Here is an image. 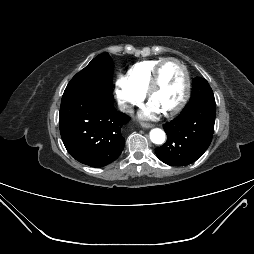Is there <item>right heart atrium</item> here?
Listing matches in <instances>:
<instances>
[{"instance_id": "d8ad5b80", "label": "right heart atrium", "mask_w": 254, "mask_h": 254, "mask_svg": "<svg viewBox=\"0 0 254 254\" xmlns=\"http://www.w3.org/2000/svg\"><path fill=\"white\" fill-rule=\"evenodd\" d=\"M115 95L122 110H128L140 103L145 93L140 91L127 75H119L115 82Z\"/></svg>"}]
</instances>
